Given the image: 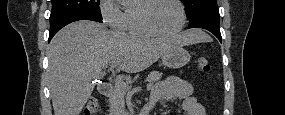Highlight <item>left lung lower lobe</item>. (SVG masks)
<instances>
[{
    "label": "left lung lower lobe",
    "instance_id": "0a47b994",
    "mask_svg": "<svg viewBox=\"0 0 285 115\" xmlns=\"http://www.w3.org/2000/svg\"><path fill=\"white\" fill-rule=\"evenodd\" d=\"M188 28H204L212 32L221 42L220 15L218 7H208L195 13L190 19Z\"/></svg>",
    "mask_w": 285,
    "mask_h": 115
}]
</instances>
